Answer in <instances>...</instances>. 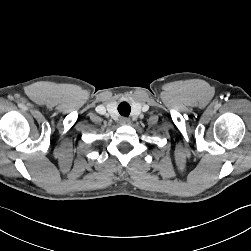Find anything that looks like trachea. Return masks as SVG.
Wrapping results in <instances>:
<instances>
[{
    "label": "trachea",
    "instance_id": "1",
    "mask_svg": "<svg viewBox=\"0 0 251 251\" xmlns=\"http://www.w3.org/2000/svg\"><path fill=\"white\" fill-rule=\"evenodd\" d=\"M131 111V107L127 102H121L118 106V112L120 115L128 117Z\"/></svg>",
    "mask_w": 251,
    "mask_h": 251
}]
</instances>
